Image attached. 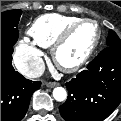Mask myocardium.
<instances>
[{
    "label": "myocardium",
    "instance_id": "obj_1",
    "mask_svg": "<svg viewBox=\"0 0 121 121\" xmlns=\"http://www.w3.org/2000/svg\"><path fill=\"white\" fill-rule=\"evenodd\" d=\"M85 23H91L94 24L97 28V37L91 48L87 51V53L77 62L72 63V64H64L62 63L59 58H58V52L59 49L69 40L73 32L79 28L81 25ZM102 39V30L101 26L98 22H96L93 19L89 18H81L78 21L74 22L70 26H68L54 41V43L51 46V55H52V60L56 67L60 69L63 72L66 73H73L78 70H80L82 67H84L88 61L91 59L95 51L97 50L100 42Z\"/></svg>",
    "mask_w": 121,
    "mask_h": 121
}]
</instances>
